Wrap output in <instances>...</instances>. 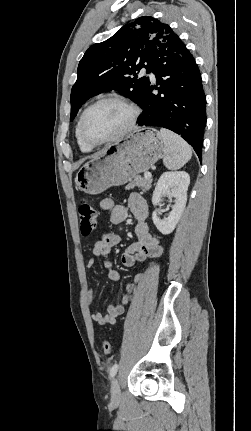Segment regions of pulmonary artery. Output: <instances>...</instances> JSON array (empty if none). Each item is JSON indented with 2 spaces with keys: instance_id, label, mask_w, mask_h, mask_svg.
I'll use <instances>...</instances> for the list:
<instances>
[{
  "instance_id": "e3ab8cb5",
  "label": "pulmonary artery",
  "mask_w": 251,
  "mask_h": 431,
  "mask_svg": "<svg viewBox=\"0 0 251 431\" xmlns=\"http://www.w3.org/2000/svg\"><path fill=\"white\" fill-rule=\"evenodd\" d=\"M142 74H147L151 79H154V78H155L154 73H153V72H151V71H147L146 69H143V70H142Z\"/></svg>"
}]
</instances>
